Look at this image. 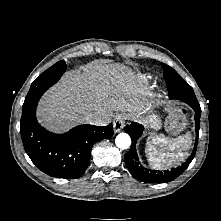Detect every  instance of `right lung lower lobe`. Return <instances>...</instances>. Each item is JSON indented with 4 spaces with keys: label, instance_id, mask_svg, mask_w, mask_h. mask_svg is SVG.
<instances>
[{
    "label": "right lung lower lobe",
    "instance_id": "obj_1",
    "mask_svg": "<svg viewBox=\"0 0 221 221\" xmlns=\"http://www.w3.org/2000/svg\"><path fill=\"white\" fill-rule=\"evenodd\" d=\"M36 105L23 110L20 133L26 153L44 173L58 178H78L86 170L95 142L113 135V126L79 125L54 134L36 119Z\"/></svg>",
    "mask_w": 221,
    "mask_h": 221
}]
</instances>
